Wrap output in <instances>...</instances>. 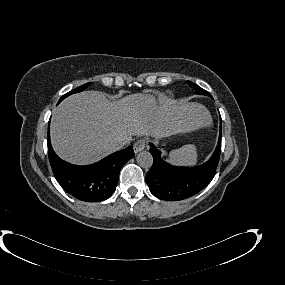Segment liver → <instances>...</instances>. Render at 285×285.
<instances>
[{"label":"liver","instance_id":"obj_1","mask_svg":"<svg viewBox=\"0 0 285 285\" xmlns=\"http://www.w3.org/2000/svg\"><path fill=\"white\" fill-rule=\"evenodd\" d=\"M207 117L196 103L174 101L156 105L151 95L132 94L111 102L98 91L69 96L55 109L51 142L60 158L74 164H90L112 153L110 144L132 136L156 138L197 129Z\"/></svg>","mask_w":285,"mask_h":285}]
</instances>
